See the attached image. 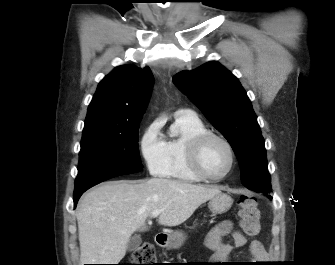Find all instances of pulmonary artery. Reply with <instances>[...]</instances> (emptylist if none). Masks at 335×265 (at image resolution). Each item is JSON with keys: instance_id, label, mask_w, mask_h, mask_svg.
I'll use <instances>...</instances> for the list:
<instances>
[{"instance_id": "pulmonary-artery-1", "label": "pulmonary artery", "mask_w": 335, "mask_h": 265, "mask_svg": "<svg viewBox=\"0 0 335 265\" xmlns=\"http://www.w3.org/2000/svg\"><path fill=\"white\" fill-rule=\"evenodd\" d=\"M175 116H182V117H189V118L197 117L196 113L189 109H179L175 112Z\"/></svg>"}]
</instances>
